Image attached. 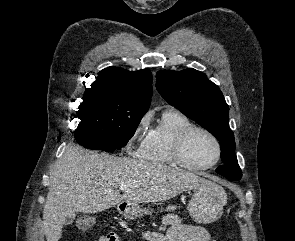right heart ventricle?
Listing matches in <instances>:
<instances>
[{
  "label": "right heart ventricle",
  "instance_id": "1",
  "mask_svg": "<svg viewBox=\"0 0 295 241\" xmlns=\"http://www.w3.org/2000/svg\"><path fill=\"white\" fill-rule=\"evenodd\" d=\"M192 125L190 119L176 109H166L157 123L149 130L138 157L145 162L157 165H175L172 144L177 135Z\"/></svg>",
  "mask_w": 295,
  "mask_h": 241
}]
</instances>
